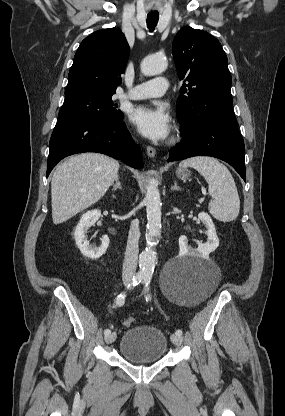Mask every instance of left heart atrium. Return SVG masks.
<instances>
[{
  "mask_svg": "<svg viewBox=\"0 0 285 416\" xmlns=\"http://www.w3.org/2000/svg\"><path fill=\"white\" fill-rule=\"evenodd\" d=\"M131 121L143 136L153 141L166 139L170 132V117L161 107L137 106Z\"/></svg>",
  "mask_w": 285,
  "mask_h": 416,
  "instance_id": "left-heart-atrium-1",
  "label": "left heart atrium"
}]
</instances>
